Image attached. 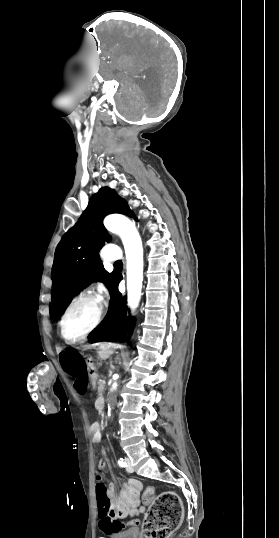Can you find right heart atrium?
Wrapping results in <instances>:
<instances>
[{
	"mask_svg": "<svg viewBox=\"0 0 279 538\" xmlns=\"http://www.w3.org/2000/svg\"><path fill=\"white\" fill-rule=\"evenodd\" d=\"M119 235H120L121 237H125V235L122 234V233H119ZM127 237H128V239L130 240L131 243L134 242V240H133V238H132L131 236H127Z\"/></svg>",
	"mask_w": 279,
	"mask_h": 538,
	"instance_id": "d8ad5b80",
	"label": "right heart atrium"
}]
</instances>
